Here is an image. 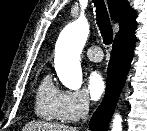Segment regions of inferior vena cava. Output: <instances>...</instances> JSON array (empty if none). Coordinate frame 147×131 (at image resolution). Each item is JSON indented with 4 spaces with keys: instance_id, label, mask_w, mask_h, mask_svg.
I'll return each mask as SVG.
<instances>
[{
    "instance_id": "1",
    "label": "inferior vena cava",
    "mask_w": 147,
    "mask_h": 131,
    "mask_svg": "<svg viewBox=\"0 0 147 131\" xmlns=\"http://www.w3.org/2000/svg\"><path fill=\"white\" fill-rule=\"evenodd\" d=\"M88 113H89V101L84 100L80 106V115L83 122L87 120Z\"/></svg>"
}]
</instances>
